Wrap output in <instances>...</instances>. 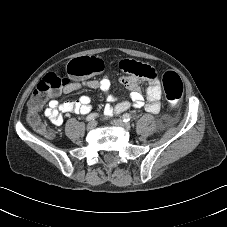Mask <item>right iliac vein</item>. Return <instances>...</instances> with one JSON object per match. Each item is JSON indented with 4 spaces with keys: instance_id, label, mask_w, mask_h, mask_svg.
<instances>
[{
    "instance_id": "right-iliac-vein-1",
    "label": "right iliac vein",
    "mask_w": 227,
    "mask_h": 227,
    "mask_svg": "<svg viewBox=\"0 0 227 227\" xmlns=\"http://www.w3.org/2000/svg\"><path fill=\"white\" fill-rule=\"evenodd\" d=\"M97 123L96 121H90L87 125L88 130H93L96 127Z\"/></svg>"
}]
</instances>
